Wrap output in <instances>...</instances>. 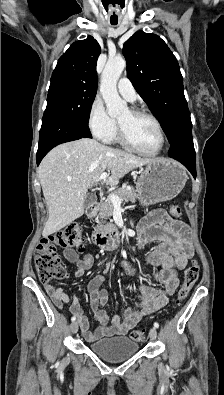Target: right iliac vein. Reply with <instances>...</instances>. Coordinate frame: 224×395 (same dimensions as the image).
I'll return each instance as SVG.
<instances>
[{
	"mask_svg": "<svg viewBox=\"0 0 224 395\" xmlns=\"http://www.w3.org/2000/svg\"><path fill=\"white\" fill-rule=\"evenodd\" d=\"M78 327H79L78 322H76V321L73 322V323L71 324V332H72L73 334L77 333Z\"/></svg>",
	"mask_w": 224,
	"mask_h": 395,
	"instance_id": "1",
	"label": "right iliac vein"
}]
</instances>
